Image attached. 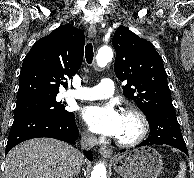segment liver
I'll return each mask as SVG.
<instances>
[{
	"label": "liver",
	"instance_id": "6515ba94",
	"mask_svg": "<svg viewBox=\"0 0 194 178\" xmlns=\"http://www.w3.org/2000/svg\"><path fill=\"white\" fill-rule=\"evenodd\" d=\"M84 165L83 155L52 138H35L7 155L4 178H73Z\"/></svg>",
	"mask_w": 194,
	"mask_h": 178
}]
</instances>
